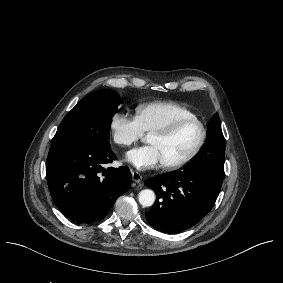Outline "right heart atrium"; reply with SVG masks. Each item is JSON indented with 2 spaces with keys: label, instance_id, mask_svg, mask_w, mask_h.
Segmentation results:
<instances>
[{
  "label": "right heart atrium",
  "instance_id": "obj_1",
  "mask_svg": "<svg viewBox=\"0 0 283 283\" xmlns=\"http://www.w3.org/2000/svg\"><path fill=\"white\" fill-rule=\"evenodd\" d=\"M110 138L118 146H130L144 134L137 117L115 111L109 121Z\"/></svg>",
  "mask_w": 283,
  "mask_h": 283
}]
</instances>
